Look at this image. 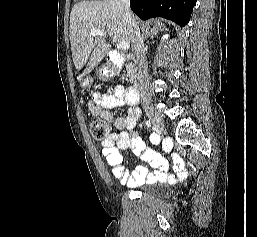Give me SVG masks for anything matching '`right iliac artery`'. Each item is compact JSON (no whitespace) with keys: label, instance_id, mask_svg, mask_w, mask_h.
<instances>
[{"label":"right iliac artery","instance_id":"obj_1","mask_svg":"<svg viewBox=\"0 0 257 237\" xmlns=\"http://www.w3.org/2000/svg\"><path fill=\"white\" fill-rule=\"evenodd\" d=\"M146 126L148 127V128H150L151 127V123H150V121H147L146 122ZM154 135V134H153ZM155 136H156V134H155Z\"/></svg>","mask_w":257,"mask_h":237}]
</instances>
